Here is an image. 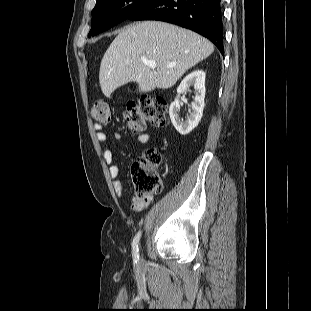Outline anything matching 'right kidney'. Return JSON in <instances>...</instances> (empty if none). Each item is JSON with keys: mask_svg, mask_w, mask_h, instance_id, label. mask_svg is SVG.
Masks as SVG:
<instances>
[{"mask_svg": "<svg viewBox=\"0 0 311 311\" xmlns=\"http://www.w3.org/2000/svg\"><path fill=\"white\" fill-rule=\"evenodd\" d=\"M205 76L206 74L203 70H196L187 75L177 88V97L170 105L169 115L171 122L181 135L189 134L198 125L202 118L205 105ZM190 86H194L195 97L191 104L192 110L189 112V116H187L184 121L183 118L179 115V97L181 94L186 93Z\"/></svg>", "mask_w": 311, "mask_h": 311, "instance_id": "obj_1", "label": "right kidney"}]
</instances>
